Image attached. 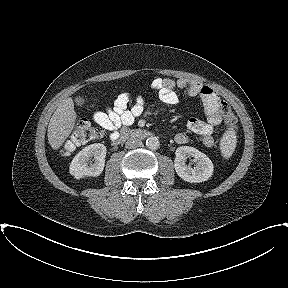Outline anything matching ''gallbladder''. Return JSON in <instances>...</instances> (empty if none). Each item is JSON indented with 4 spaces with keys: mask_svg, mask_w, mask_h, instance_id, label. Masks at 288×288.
I'll use <instances>...</instances> for the list:
<instances>
[{
    "mask_svg": "<svg viewBox=\"0 0 288 288\" xmlns=\"http://www.w3.org/2000/svg\"><path fill=\"white\" fill-rule=\"evenodd\" d=\"M75 104H76L77 106H82V105L84 104V99H83V97L77 96V97L75 98Z\"/></svg>",
    "mask_w": 288,
    "mask_h": 288,
    "instance_id": "bac80fb5",
    "label": "gallbladder"
}]
</instances>
